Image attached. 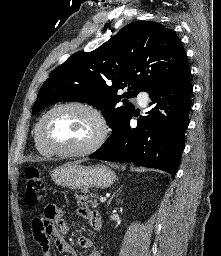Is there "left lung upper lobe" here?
<instances>
[{"instance_id":"5c2ea615","label":"left lung upper lobe","mask_w":221,"mask_h":256,"mask_svg":"<svg viewBox=\"0 0 221 256\" xmlns=\"http://www.w3.org/2000/svg\"><path fill=\"white\" fill-rule=\"evenodd\" d=\"M182 42L154 21H136L92 52L79 51L52 71L41 86L32 114L59 101L86 102L102 111L115 129L134 114L122 98L149 91L187 65ZM128 92L118 95L119 89ZM123 106H116L119 102Z\"/></svg>"}]
</instances>
